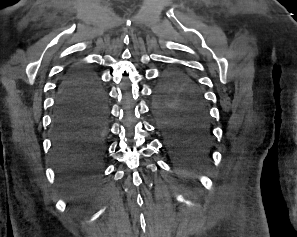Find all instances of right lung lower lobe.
<instances>
[{"label":"right lung lower lobe","instance_id":"right-lung-lower-lobe-1","mask_svg":"<svg viewBox=\"0 0 297 237\" xmlns=\"http://www.w3.org/2000/svg\"><path fill=\"white\" fill-rule=\"evenodd\" d=\"M105 94L89 69L73 66L59 86L52 126L53 157L61 172H102Z\"/></svg>","mask_w":297,"mask_h":237}]
</instances>
